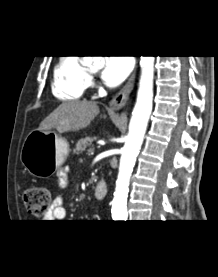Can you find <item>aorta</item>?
Returning <instances> with one entry per match:
<instances>
[{
	"label": "aorta",
	"instance_id": "aorta-1",
	"mask_svg": "<svg viewBox=\"0 0 218 277\" xmlns=\"http://www.w3.org/2000/svg\"><path fill=\"white\" fill-rule=\"evenodd\" d=\"M90 60L97 66L104 63L103 56H91ZM140 67L141 76L136 104L132 112L126 142L122 149L116 189L112 202L111 213L114 220H125L127 218L126 202L129 192V180L152 112L154 56H141Z\"/></svg>",
	"mask_w": 218,
	"mask_h": 277
}]
</instances>
